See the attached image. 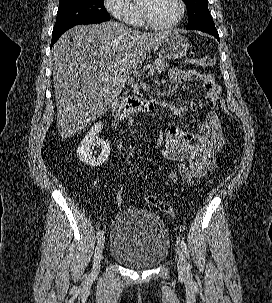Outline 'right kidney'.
<instances>
[{
  "mask_svg": "<svg viewBox=\"0 0 272 303\" xmlns=\"http://www.w3.org/2000/svg\"><path fill=\"white\" fill-rule=\"evenodd\" d=\"M102 128L103 124L101 122L95 123L77 148L78 158L91 167L102 165L110 155L111 149L109 142L99 138V133ZM94 145L101 146V152L98 155H92L91 153V146Z\"/></svg>",
  "mask_w": 272,
  "mask_h": 303,
  "instance_id": "ca27d5eb",
  "label": "right kidney"
}]
</instances>
